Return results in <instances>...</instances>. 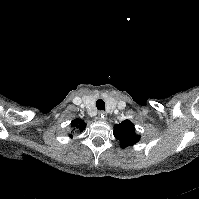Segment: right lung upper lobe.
Listing matches in <instances>:
<instances>
[{"label": "right lung upper lobe", "instance_id": "obj_1", "mask_svg": "<svg viewBox=\"0 0 199 199\" xmlns=\"http://www.w3.org/2000/svg\"><path fill=\"white\" fill-rule=\"evenodd\" d=\"M71 125L72 127H74V130L75 128L79 129L80 131H83L86 127V123L83 122L82 120L80 119H75L71 122ZM71 136V135H70Z\"/></svg>", "mask_w": 199, "mask_h": 199}]
</instances>
